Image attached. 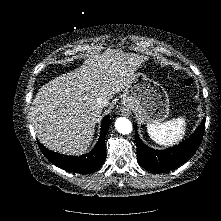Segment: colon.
<instances>
[{"label":"colon","mask_w":221,"mask_h":221,"mask_svg":"<svg viewBox=\"0 0 221 221\" xmlns=\"http://www.w3.org/2000/svg\"><path fill=\"white\" fill-rule=\"evenodd\" d=\"M192 84H193V79H192V78H185V79L183 80V85H184L185 87H191Z\"/></svg>","instance_id":"1"}]
</instances>
